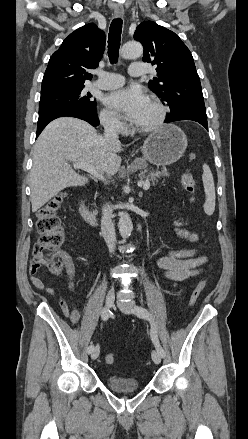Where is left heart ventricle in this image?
<instances>
[{
    "instance_id": "1",
    "label": "left heart ventricle",
    "mask_w": 248,
    "mask_h": 439,
    "mask_svg": "<svg viewBox=\"0 0 248 439\" xmlns=\"http://www.w3.org/2000/svg\"><path fill=\"white\" fill-rule=\"evenodd\" d=\"M158 115L156 107L148 101L146 108L144 109L140 118L135 122L136 125L144 126L152 123Z\"/></svg>"
}]
</instances>
